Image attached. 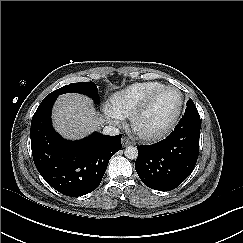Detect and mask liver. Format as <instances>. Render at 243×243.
<instances>
[{
	"instance_id": "1",
	"label": "liver",
	"mask_w": 243,
	"mask_h": 243,
	"mask_svg": "<svg viewBox=\"0 0 243 243\" xmlns=\"http://www.w3.org/2000/svg\"><path fill=\"white\" fill-rule=\"evenodd\" d=\"M104 119L99 117L92 100L86 96L69 93L58 97L53 108L55 129L67 139H79L90 134Z\"/></svg>"
}]
</instances>
